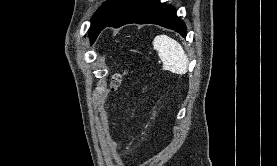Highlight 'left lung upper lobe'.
<instances>
[{"instance_id": "obj_1", "label": "left lung upper lobe", "mask_w": 277, "mask_h": 166, "mask_svg": "<svg viewBox=\"0 0 277 166\" xmlns=\"http://www.w3.org/2000/svg\"><path fill=\"white\" fill-rule=\"evenodd\" d=\"M135 0H108L95 13L89 35L93 43L98 34L103 30L106 23L128 7Z\"/></svg>"}]
</instances>
